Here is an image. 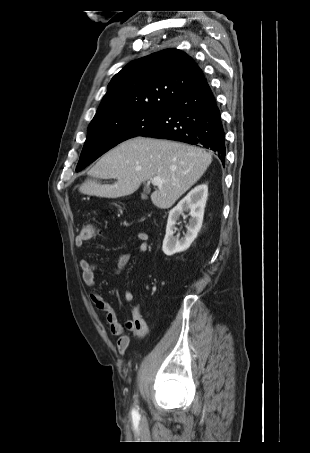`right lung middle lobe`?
<instances>
[{"mask_svg": "<svg viewBox=\"0 0 310 453\" xmlns=\"http://www.w3.org/2000/svg\"><path fill=\"white\" fill-rule=\"evenodd\" d=\"M163 111H133L106 115L92 120L76 167L80 171L117 144L139 136L150 128Z\"/></svg>", "mask_w": 310, "mask_h": 453, "instance_id": "1", "label": "right lung middle lobe"}]
</instances>
